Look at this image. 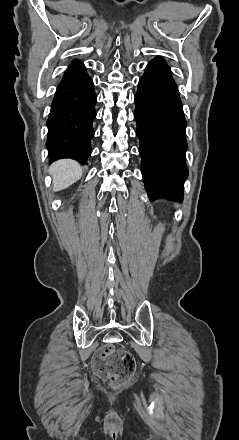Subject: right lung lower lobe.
I'll list each match as a JSON object with an SVG mask.
<instances>
[{
    "instance_id": "right-lung-lower-lobe-1",
    "label": "right lung lower lobe",
    "mask_w": 239,
    "mask_h": 440,
    "mask_svg": "<svg viewBox=\"0 0 239 440\" xmlns=\"http://www.w3.org/2000/svg\"><path fill=\"white\" fill-rule=\"evenodd\" d=\"M96 101L94 84L85 66L80 61L73 62L58 85L47 120L50 161L70 158L87 164Z\"/></svg>"
}]
</instances>
